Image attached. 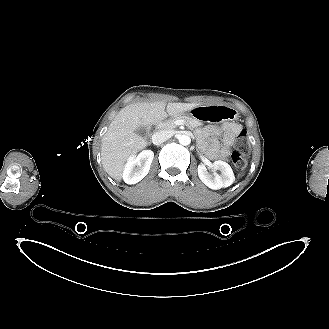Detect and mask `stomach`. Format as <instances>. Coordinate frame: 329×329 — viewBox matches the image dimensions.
<instances>
[{
	"mask_svg": "<svg viewBox=\"0 0 329 329\" xmlns=\"http://www.w3.org/2000/svg\"><path fill=\"white\" fill-rule=\"evenodd\" d=\"M182 113L181 115H184ZM187 115L194 117L201 122H222L224 120L233 121L237 117L236 111L226 105H205L197 106L186 112Z\"/></svg>",
	"mask_w": 329,
	"mask_h": 329,
	"instance_id": "1",
	"label": "stomach"
}]
</instances>
